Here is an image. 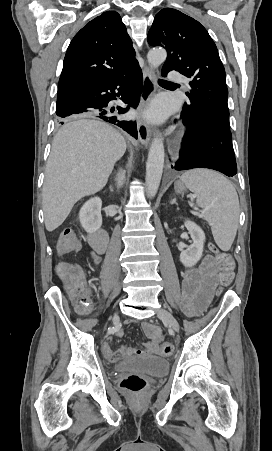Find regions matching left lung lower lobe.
Listing matches in <instances>:
<instances>
[{
  "label": "left lung lower lobe",
  "mask_w": 272,
  "mask_h": 451,
  "mask_svg": "<svg viewBox=\"0 0 272 451\" xmlns=\"http://www.w3.org/2000/svg\"><path fill=\"white\" fill-rule=\"evenodd\" d=\"M168 71L162 69V76ZM188 130L180 150L176 170L209 168L233 176L237 173L230 128L211 116L182 117ZM173 167V166H172Z\"/></svg>",
  "instance_id": "1"
}]
</instances>
